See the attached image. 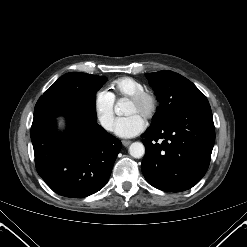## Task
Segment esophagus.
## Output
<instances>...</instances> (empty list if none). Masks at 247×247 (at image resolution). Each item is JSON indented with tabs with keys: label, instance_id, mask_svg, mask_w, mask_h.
<instances>
[{
	"label": "esophagus",
	"instance_id": "obj_1",
	"mask_svg": "<svg viewBox=\"0 0 247 247\" xmlns=\"http://www.w3.org/2000/svg\"><path fill=\"white\" fill-rule=\"evenodd\" d=\"M122 144L124 146H129L131 144V141L130 140H122Z\"/></svg>",
	"mask_w": 247,
	"mask_h": 247
}]
</instances>
